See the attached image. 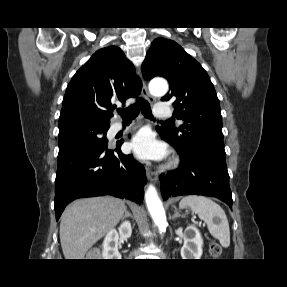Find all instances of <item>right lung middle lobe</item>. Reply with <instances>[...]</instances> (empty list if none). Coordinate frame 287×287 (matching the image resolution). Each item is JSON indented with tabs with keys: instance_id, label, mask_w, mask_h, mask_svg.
<instances>
[{
	"instance_id": "right-lung-middle-lobe-1",
	"label": "right lung middle lobe",
	"mask_w": 287,
	"mask_h": 287,
	"mask_svg": "<svg viewBox=\"0 0 287 287\" xmlns=\"http://www.w3.org/2000/svg\"><path fill=\"white\" fill-rule=\"evenodd\" d=\"M108 125L89 122L70 123L59 127V149L73 144H90L94 146H107L106 133Z\"/></svg>"
}]
</instances>
